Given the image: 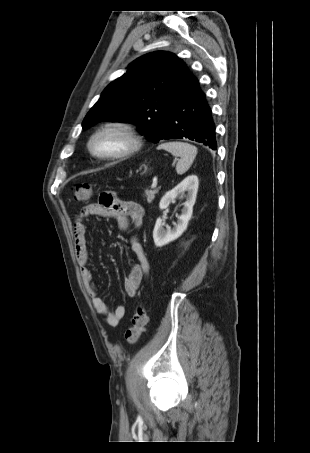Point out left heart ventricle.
Instances as JSON below:
<instances>
[{"mask_svg":"<svg viewBox=\"0 0 310 453\" xmlns=\"http://www.w3.org/2000/svg\"><path fill=\"white\" fill-rule=\"evenodd\" d=\"M93 145L97 152L106 154L120 150L122 147H124L125 142L123 138H121L117 134L109 133L95 139Z\"/></svg>","mask_w":310,"mask_h":453,"instance_id":"b2bd125f","label":"left heart ventricle"}]
</instances>
